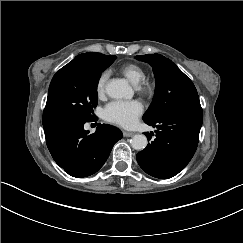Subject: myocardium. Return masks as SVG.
I'll use <instances>...</instances> for the list:
<instances>
[{"label": "myocardium", "instance_id": "obj_1", "mask_svg": "<svg viewBox=\"0 0 243 243\" xmlns=\"http://www.w3.org/2000/svg\"><path fill=\"white\" fill-rule=\"evenodd\" d=\"M136 88L143 95L153 96L157 90V82L154 78L144 77Z\"/></svg>", "mask_w": 243, "mask_h": 243}]
</instances>
